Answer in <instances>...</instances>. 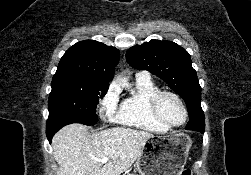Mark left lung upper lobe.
<instances>
[{"label":"left lung upper lobe","instance_id":"1","mask_svg":"<svg viewBox=\"0 0 251 175\" xmlns=\"http://www.w3.org/2000/svg\"><path fill=\"white\" fill-rule=\"evenodd\" d=\"M131 67L147 70L164 80L185 101L187 108L202 110L201 87L192 68L189 53L171 41L150 40L135 45L126 52ZM186 129L201 133L205 130L204 118L188 122Z\"/></svg>","mask_w":251,"mask_h":175}]
</instances>
